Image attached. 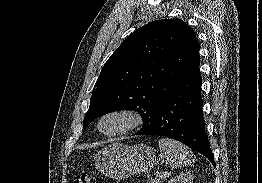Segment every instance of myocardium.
Instances as JSON below:
<instances>
[{
    "mask_svg": "<svg viewBox=\"0 0 262 183\" xmlns=\"http://www.w3.org/2000/svg\"><path fill=\"white\" fill-rule=\"evenodd\" d=\"M110 116L123 117L126 121L125 125L116 131L105 132L102 129V123L106 118ZM143 121H144L143 115L137 109L131 107H119L104 112L98 119L97 128L103 135L107 137H115V136L126 134L130 131L139 128L143 124Z\"/></svg>",
    "mask_w": 262,
    "mask_h": 183,
    "instance_id": "obj_1",
    "label": "myocardium"
}]
</instances>
